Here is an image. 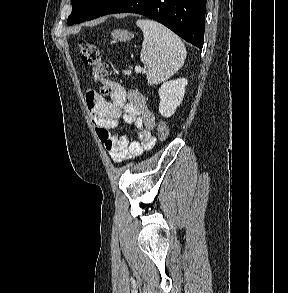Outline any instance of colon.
Returning <instances> with one entry per match:
<instances>
[{"label": "colon", "mask_w": 288, "mask_h": 293, "mask_svg": "<svg viewBox=\"0 0 288 293\" xmlns=\"http://www.w3.org/2000/svg\"><path fill=\"white\" fill-rule=\"evenodd\" d=\"M80 57L84 64L93 66V77L96 81H103L106 77V64L102 59V53L99 47L89 41H80ZM102 94L108 93V87L102 82L100 86ZM157 135L160 141H165L169 135V128L165 121H159L157 124Z\"/></svg>", "instance_id": "colon-1"}]
</instances>
